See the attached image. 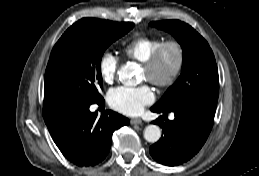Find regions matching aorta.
I'll list each match as a JSON object with an SVG mask.
<instances>
[{
	"label": "aorta",
	"instance_id": "762f6f07",
	"mask_svg": "<svg viewBox=\"0 0 259 176\" xmlns=\"http://www.w3.org/2000/svg\"><path fill=\"white\" fill-rule=\"evenodd\" d=\"M137 66L134 63H127L118 71L119 80L126 86H134L139 83L137 76ZM161 137V129L159 126L151 124L144 130V138L150 143L157 142Z\"/></svg>",
	"mask_w": 259,
	"mask_h": 176
}]
</instances>
